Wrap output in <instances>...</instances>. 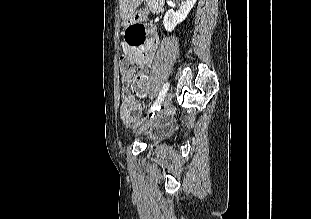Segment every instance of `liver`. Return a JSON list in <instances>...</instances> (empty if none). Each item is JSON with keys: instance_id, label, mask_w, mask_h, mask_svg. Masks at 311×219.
<instances>
[{"instance_id": "1", "label": "liver", "mask_w": 311, "mask_h": 219, "mask_svg": "<svg viewBox=\"0 0 311 219\" xmlns=\"http://www.w3.org/2000/svg\"><path fill=\"white\" fill-rule=\"evenodd\" d=\"M132 1L133 0H120V15L123 19L133 11Z\"/></svg>"}]
</instances>
